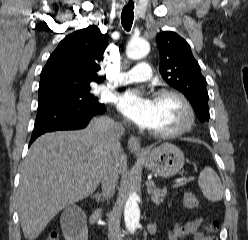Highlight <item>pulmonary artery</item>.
<instances>
[{"instance_id":"1","label":"pulmonary artery","mask_w":248,"mask_h":240,"mask_svg":"<svg viewBox=\"0 0 248 240\" xmlns=\"http://www.w3.org/2000/svg\"><path fill=\"white\" fill-rule=\"evenodd\" d=\"M151 78V69L147 62L138 63L133 69L117 75L115 85L144 82Z\"/></svg>"}]
</instances>
